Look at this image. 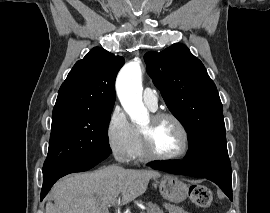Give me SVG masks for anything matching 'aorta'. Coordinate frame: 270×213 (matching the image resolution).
Instances as JSON below:
<instances>
[{
	"label": "aorta",
	"mask_w": 270,
	"mask_h": 213,
	"mask_svg": "<svg viewBox=\"0 0 270 213\" xmlns=\"http://www.w3.org/2000/svg\"><path fill=\"white\" fill-rule=\"evenodd\" d=\"M118 98L124 110L134 123L148 118V111L142 102V71L136 61H131L121 69L116 81Z\"/></svg>",
	"instance_id": "1"
}]
</instances>
